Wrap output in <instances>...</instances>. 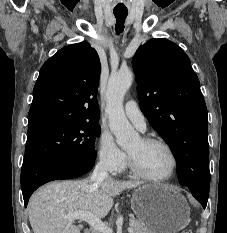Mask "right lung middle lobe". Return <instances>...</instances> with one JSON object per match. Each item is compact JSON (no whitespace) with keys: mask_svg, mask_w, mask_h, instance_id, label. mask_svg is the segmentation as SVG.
<instances>
[{"mask_svg":"<svg viewBox=\"0 0 227 233\" xmlns=\"http://www.w3.org/2000/svg\"><path fill=\"white\" fill-rule=\"evenodd\" d=\"M98 121H76L28 134L22 170L51 159L95 160Z\"/></svg>","mask_w":227,"mask_h":233,"instance_id":"obj_1","label":"right lung middle lobe"}]
</instances>
